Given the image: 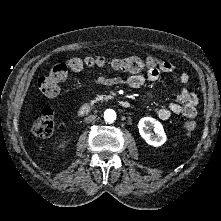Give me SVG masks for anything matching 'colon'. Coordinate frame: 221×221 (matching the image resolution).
<instances>
[{
	"label": "colon",
	"mask_w": 221,
	"mask_h": 221,
	"mask_svg": "<svg viewBox=\"0 0 221 221\" xmlns=\"http://www.w3.org/2000/svg\"><path fill=\"white\" fill-rule=\"evenodd\" d=\"M84 66L111 67L115 70L137 73L143 70L156 69L159 61L150 56L141 58L128 56L123 58L86 57L71 58L67 62L57 63L50 69L47 76L41 77L38 82L40 92L47 98H55L60 93V83L63 82L68 71L79 72ZM33 133L37 137H50L54 130L53 114L48 108H42L33 124ZM183 134L191 135L196 130V122L193 119H183L180 122Z\"/></svg>",
	"instance_id": "1"
}]
</instances>
